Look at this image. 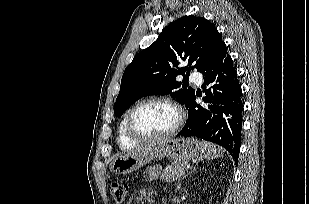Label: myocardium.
I'll list each match as a JSON object with an SVG mask.
<instances>
[{
  "label": "myocardium",
  "instance_id": "obj_1",
  "mask_svg": "<svg viewBox=\"0 0 309 204\" xmlns=\"http://www.w3.org/2000/svg\"><path fill=\"white\" fill-rule=\"evenodd\" d=\"M152 103H160V104H165L169 107H171L175 113H176V122L173 125L171 129L166 131L165 133L159 134V135H144L142 133H139L133 125V120L134 116L137 113L139 109H141L143 106L152 104ZM184 121V113L182 108L173 100L165 97H153V98H148L145 100H142L141 102L137 103L127 114L126 117V123H125V131L127 136L139 143H149V142H155V141H160L165 138L171 137L175 135L179 129L181 128L182 124Z\"/></svg>",
  "mask_w": 309,
  "mask_h": 204
}]
</instances>
